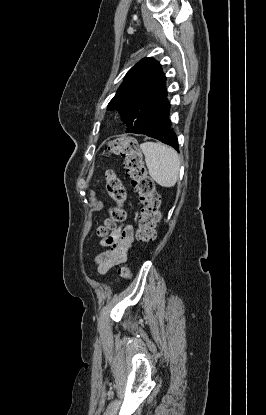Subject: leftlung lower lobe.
Segmentation results:
<instances>
[{
    "instance_id": "left-lung-lower-lobe-1",
    "label": "left lung lower lobe",
    "mask_w": 266,
    "mask_h": 415,
    "mask_svg": "<svg viewBox=\"0 0 266 415\" xmlns=\"http://www.w3.org/2000/svg\"><path fill=\"white\" fill-rule=\"evenodd\" d=\"M143 134L168 144L175 148L177 151L179 150L178 140L175 133L173 132L169 116L159 127Z\"/></svg>"
}]
</instances>
